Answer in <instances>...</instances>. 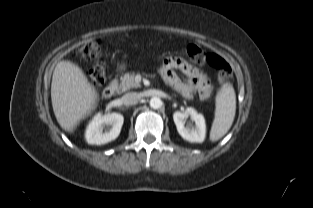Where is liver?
I'll return each mask as SVG.
<instances>
[{"label":"liver","mask_w":313,"mask_h":208,"mask_svg":"<svg viewBox=\"0 0 313 208\" xmlns=\"http://www.w3.org/2000/svg\"><path fill=\"white\" fill-rule=\"evenodd\" d=\"M96 93L82 70L68 61L59 62L53 72L51 100L55 117L67 132L91 113Z\"/></svg>","instance_id":"1"}]
</instances>
